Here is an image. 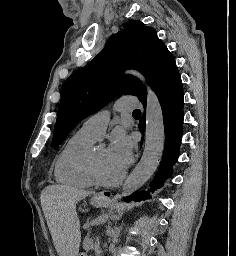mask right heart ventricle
I'll return each instance as SVG.
<instances>
[{"label": "right heart ventricle", "mask_w": 236, "mask_h": 256, "mask_svg": "<svg viewBox=\"0 0 236 256\" xmlns=\"http://www.w3.org/2000/svg\"><path fill=\"white\" fill-rule=\"evenodd\" d=\"M95 139L82 133H75L57 157L55 180L63 185L87 189L95 184L88 149Z\"/></svg>", "instance_id": "obj_1"}]
</instances>
